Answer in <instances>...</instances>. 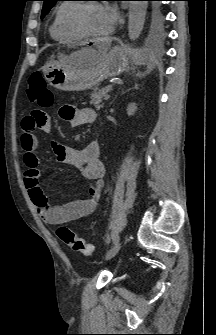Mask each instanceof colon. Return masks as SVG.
<instances>
[{"mask_svg": "<svg viewBox=\"0 0 216 335\" xmlns=\"http://www.w3.org/2000/svg\"><path fill=\"white\" fill-rule=\"evenodd\" d=\"M28 98L36 104L37 108H49L53 105L54 94L47 87L45 79L40 72H33L27 84ZM57 236L70 247L74 252L81 253L85 256L94 254V246L79 237L72 229L60 225L56 230Z\"/></svg>", "mask_w": 216, "mask_h": 335, "instance_id": "colon-1", "label": "colon"}]
</instances>
